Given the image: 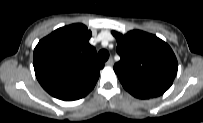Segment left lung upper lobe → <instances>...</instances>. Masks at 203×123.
Returning a JSON list of instances; mask_svg holds the SVG:
<instances>
[{
  "label": "left lung upper lobe",
  "instance_id": "left-lung-upper-lobe-1",
  "mask_svg": "<svg viewBox=\"0 0 203 123\" xmlns=\"http://www.w3.org/2000/svg\"><path fill=\"white\" fill-rule=\"evenodd\" d=\"M116 37L120 61L114 65L123 87L131 94L156 97L167 91L177 74L178 63L170 46L155 35L133 30Z\"/></svg>",
  "mask_w": 203,
  "mask_h": 123
}]
</instances>
